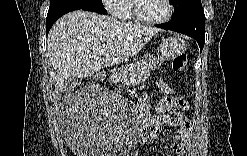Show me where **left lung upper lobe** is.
<instances>
[{
  "label": "left lung upper lobe",
  "instance_id": "obj_1",
  "mask_svg": "<svg viewBox=\"0 0 247 156\" xmlns=\"http://www.w3.org/2000/svg\"><path fill=\"white\" fill-rule=\"evenodd\" d=\"M174 14L171 20L187 15L194 7L201 5V0H173Z\"/></svg>",
  "mask_w": 247,
  "mask_h": 156
}]
</instances>
